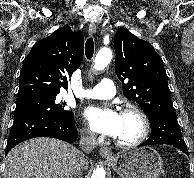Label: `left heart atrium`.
Here are the masks:
<instances>
[{
	"mask_svg": "<svg viewBox=\"0 0 194 178\" xmlns=\"http://www.w3.org/2000/svg\"><path fill=\"white\" fill-rule=\"evenodd\" d=\"M85 118L91 128L101 134L115 137L120 128V114L109 107H89Z\"/></svg>",
	"mask_w": 194,
	"mask_h": 178,
	"instance_id": "39dd6f15",
	"label": "left heart atrium"
}]
</instances>
